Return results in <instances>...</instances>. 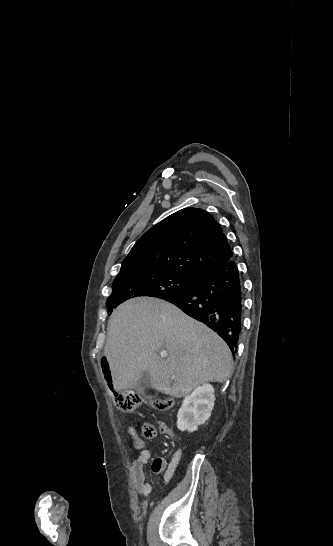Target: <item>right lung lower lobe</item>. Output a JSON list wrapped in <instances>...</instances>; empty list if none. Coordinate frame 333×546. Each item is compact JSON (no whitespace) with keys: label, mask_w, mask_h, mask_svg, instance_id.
<instances>
[{"label":"right lung lower lobe","mask_w":333,"mask_h":546,"mask_svg":"<svg viewBox=\"0 0 333 546\" xmlns=\"http://www.w3.org/2000/svg\"><path fill=\"white\" fill-rule=\"evenodd\" d=\"M164 300L217 332L236 354L242 328L243 293L239 271L232 259L203 274L192 289Z\"/></svg>","instance_id":"1"}]
</instances>
